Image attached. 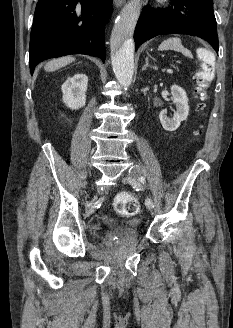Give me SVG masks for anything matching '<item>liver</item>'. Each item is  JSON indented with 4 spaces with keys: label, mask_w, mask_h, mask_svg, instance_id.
<instances>
[{
    "label": "liver",
    "mask_w": 233,
    "mask_h": 328,
    "mask_svg": "<svg viewBox=\"0 0 233 328\" xmlns=\"http://www.w3.org/2000/svg\"><path fill=\"white\" fill-rule=\"evenodd\" d=\"M74 60H75L74 57L71 56L54 59L46 63L44 69L47 72H52L72 63Z\"/></svg>",
    "instance_id": "liver-1"
}]
</instances>
